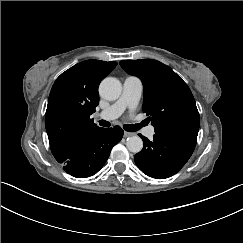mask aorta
Returning a JSON list of instances; mask_svg holds the SVG:
<instances>
[{
    "mask_svg": "<svg viewBox=\"0 0 243 243\" xmlns=\"http://www.w3.org/2000/svg\"><path fill=\"white\" fill-rule=\"evenodd\" d=\"M121 91L122 86L120 81L113 77L105 78L99 86V95L101 98L109 101L118 99ZM126 147L130 152L138 153L143 148V141L137 135L130 136L126 139Z\"/></svg>",
    "mask_w": 243,
    "mask_h": 243,
    "instance_id": "762f6f07",
    "label": "aorta"
}]
</instances>
